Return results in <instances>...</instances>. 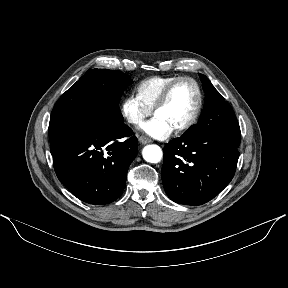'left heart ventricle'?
<instances>
[{"label": "left heart ventricle", "mask_w": 288, "mask_h": 288, "mask_svg": "<svg viewBox=\"0 0 288 288\" xmlns=\"http://www.w3.org/2000/svg\"><path fill=\"white\" fill-rule=\"evenodd\" d=\"M197 103V92L192 83L180 82L175 86L164 106L156 114L162 116L173 128L187 122Z\"/></svg>", "instance_id": "1"}]
</instances>
